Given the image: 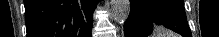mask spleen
I'll return each instance as SVG.
<instances>
[{
	"label": "spleen",
	"mask_w": 219,
	"mask_h": 37,
	"mask_svg": "<svg viewBox=\"0 0 219 37\" xmlns=\"http://www.w3.org/2000/svg\"><path fill=\"white\" fill-rule=\"evenodd\" d=\"M152 37H178L175 34L170 33L162 27H156Z\"/></svg>",
	"instance_id": "1"
}]
</instances>
